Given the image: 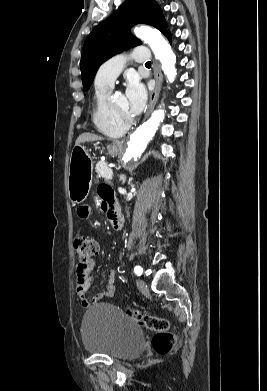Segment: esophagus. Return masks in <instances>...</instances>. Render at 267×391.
Instances as JSON below:
<instances>
[{
	"label": "esophagus",
	"mask_w": 267,
	"mask_h": 391,
	"mask_svg": "<svg viewBox=\"0 0 267 391\" xmlns=\"http://www.w3.org/2000/svg\"><path fill=\"white\" fill-rule=\"evenodd\" d=\"M154 71H155V80L156 85L154 90L150 94V102H149V109L146 114V118L150 115L151 111L154 109L155 104L157 102L158 95L161 90L162 82H163V75L162 72L157 64L154 65Z\"/></svg>",
	"instance_id": "obj_1"
}]
</instances>
